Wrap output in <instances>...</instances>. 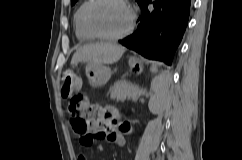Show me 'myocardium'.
I'll return each instance as SVG.
<instances>
[{
	"label": "myocardium",
	"instance_id": "obj_1",
	"mask_svg": "<svg viewBox=\"0 0 242 160\" xmlns=\"http://www.w3.org/2000/svg\"><path fill=\"white\" fill-rule=\"evenodd\" d=\"M100 1L101 0H90L89 4L87 5L85 12H84V17H83L86 29L94 37L103 39V40H107V41H117V40H121V39L125 38L126 36H128L135 25V21H136V17H137L136 10L133 7V5L130 3V1L129 0H120L129 9L130 19H129V23H128L127 27L125 28V30L116 35H108V34L101 33L92 24L91 12H92L93 8L95 7V5L97 3H99Z\"/></svg>",
	"mask_w": 242,
	"mask_h": 160
}]
</instances>
